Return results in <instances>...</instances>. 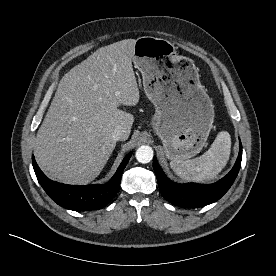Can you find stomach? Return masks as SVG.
<instances>
[{"label": "stomach", "mask_w": 276, "mask_h": 276, "mask_svg": "<svg viewBox=\"0 0 276 276\" xmlns=\"http://www.w3.org/2000/svg\"><path fill=\"white\" fill-rule=\"evenodd\" d=\"M132 60L155 106L152 127L166 157L185 160L197 155L212 129L214 106L194 62L178 55L168 40L151 36L136 40Z\"/></svg>", "instance_id": "obj_1"}]
</instances>
